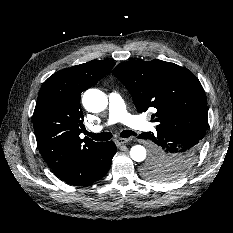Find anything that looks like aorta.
I'll return each instance as SVG.
<instances>
[{
    "mask_svg": "<svg viewBox=\"0 0 233 233\" xmlns=\"http://www.w3.org/2000/svg\"><path fill=\"white\" fill-rule=\"evenodd\" d=\"M83 106L89 112L98 113L106 109L108 99L105 93L98 89H88L82 97ZM132 160L142 162L146 158V149L142 145H135L130 150Z\"/></svg>",
    "mask_w": 233,
    "mask_h": 233,
    "instance_id": "aorta-1",
    "label": "aorta"
}]
</instances>
